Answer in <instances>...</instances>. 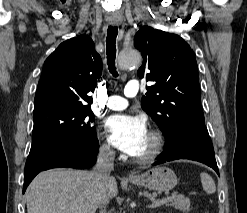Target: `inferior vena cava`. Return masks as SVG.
<instances>
[{
  "label": "inferior vena cava",
  "instance_id": "602c4592",
  "mask_svg": "<svg viewBox=\"0 0 247 213\" xmlns=\"http://www.w3.org/2000/svg\"><path fill=\"white\" fill-rule=\"evenodd\" d=\"M115 153L109 146H102L99 150L97 163L94 167V173L102 183H108L111 180L110 173L114 168ZM107 193H104L105 200H108ZM100 213H107L106 209H102Z\"/></svg>",
  "mask_w": 247,
  "mask_h": 213
}]
</instances>
